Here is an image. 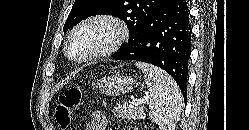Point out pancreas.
Wrapping results in <instances>:
<instances>
[{
	"mask_svg": "<svg viewBox=\"0 0 249 130\" xmlns=\"http://www.w3.org/2000/svg\"><path fill=\"white\" fill-rule=\"evenodd\" d=\"M113 114L121 119H143L145 117L142 108H138L133 104L123 103L117 104L113 110Z\"/></svg>",
	"mask_w": 249,
	"mask_h": 130,
	"instance_id": "obj_1",
	"label": "pancreas"
}]
</instances>
